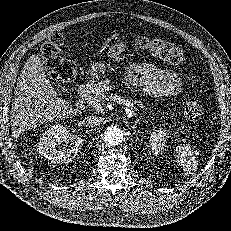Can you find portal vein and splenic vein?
<instances>
[{"mask_svg":"<svg viewBox=\"0 0 231 231\" xmlns=\"http://www.w3.org/2000/svg\"><path fill=\"white\" fill-rule=\"evenodd\" d=\"M109 99L113 100L119 104H123L125 106V112H126L128 118H131L134 115V111H132V109H131L132 104L130 101L125 100L121 96H118V95H111L108 97V100ZM99 106H100V104L97 105V107H99Z\"/></svg>","mask_w":231,"mask_h":231,"instance_id":"portal-vein-and-splenic-vein-1","label":"portal vein and splenic vein"}]
</instances>
